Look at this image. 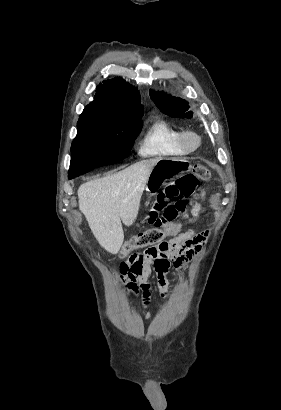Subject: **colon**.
Instances as JSON below:
<instances>
[{
    "label": "colon",
    "mask_w": 281,
    "mask_h": 410,
    "mask_svg": "<svg viewBox=\"0 0 281 410\" xmlns=\"http://www.w3.org/2000/svg\"><path fill=\"white\" fill-rule=\"evenodd\" d=\"M210 177L211 171L206 166L196 165L192 173L167 185L152 205L149 214L152 227L126 241L120 252L121 257H127L134 250L159 244L179 224V218L186 216L187 200L195 196L200 182Z\"/></svg>",
    "instance_id": "colon-1"
}]
</instances>
